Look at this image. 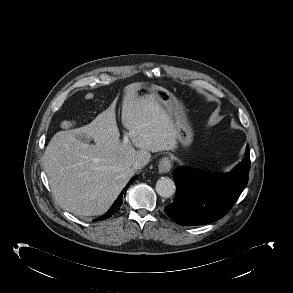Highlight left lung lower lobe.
<instances>
[{"label":"left lung lower lobe","instance_id":"0a47b994","mask_svg":"<svg viewBox=\"0 0 293 293\" xmlns=\"http://www.w3.org/2000/svg\"><path fill=\"white\" fill-rule=\"evenodd\" d=\"M249 168V147L246 159L227 174L208 175L188 167H178L173 172L176 196L164 211L180 225H203L219 220L246 187Z\"/></svg>","mask_w":293,"mask_h":293}]
</instances>
